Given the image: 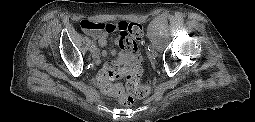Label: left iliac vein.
Instances as JSON below:
<instances>
[{
	"label": "left iliac vein",
	"instance_id": "4c4485c4",
	"mask_svg": "<svg viewBox=\"0 0 255 122\" xmlns=\"http://www.w3.org/2000/svg\"><path fill=\"white\" fill-rule=\"evenodd\" d=\"M150 59H155L158 56V53L155 50H152L148 53Z\"/></svg>",
	"mask_w": 255,
	"mask_h": 122
}]
</instances>
